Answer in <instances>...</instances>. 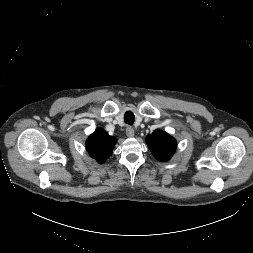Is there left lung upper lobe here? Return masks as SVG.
Instances as JSON below:
<instances>
[{
    "label": "left lung upper lobe",
    "instance_id": "1",
    "mask_svg": "<svg viewBox=\"0 0 253 253\" xmlns=\"http://www.w3.org/2000/svg\"><path fill=\"white\" fill-rule=\"evenodd\" d=\"M146 142L154 157L162 162L170 160L177 147L176 140L159 129L149 134Z\"/></svg>",
    "mask_w": 253,
    "mask_h": 253
}]
</instances>
